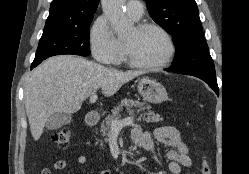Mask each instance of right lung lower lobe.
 Wrapping results in <instances>:
<instances>
[{
    "mask_svg": "<svg viewBox=\"0 0 249 174\" xmlns=\"http://www.w3.org/2000/svg\"><path fill=\"white\" fill-rule=\"evenodd\" d=\"M41 62H33L31 65V69H33L34 67H36L38 64H40Z\"/></svg>",
    "mask_w": 249,
    "mask_h": 174,
    "instance_id": "obj_1",
    "label": "right lung lower lobe"
}]
</instances>
